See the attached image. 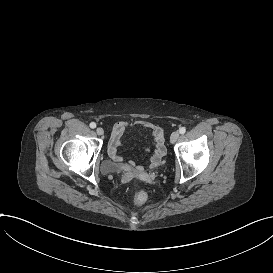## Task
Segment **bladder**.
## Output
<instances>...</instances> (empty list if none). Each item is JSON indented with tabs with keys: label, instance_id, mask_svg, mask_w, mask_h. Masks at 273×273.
Masks as SVG:
<instances>
[{
	"label": "bladder",
	"instance_id": "obj_1",
	"mask_svg": "<svg viewBox=\"0 0 273 273\" xmlns=\"http://www.w3.org/2000/svg\"><path fill=\"white\" fill-rule=\"evenodd\" d=\"M102 172L106 175L114 174L123 170V165L112 159H106L101 165Z\"/></svg>",
	"mask_w": 273,
	"mask_h": 273
}]
</instances>
